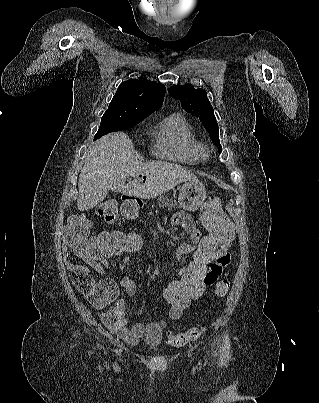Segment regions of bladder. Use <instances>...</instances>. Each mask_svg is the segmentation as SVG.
Instances as JSON below:
<instances>
[{
	"instance_id": "31cf9c89",
	"label": "bladder",
	"mask_w": 319,
	"mask_h": 403,
	"mask_svg": "<svg viewBox=\"0 0 319 403\" xmlns=\"http://www.w3.org/2000/svg\"><path fill=\"white\" fill-rule=\"evenodd\" d=\"M147 337L145 343L148 346L156 347L162 340V329L158 324H149L146 327Z\"/></svg>"
}]
</instances>
